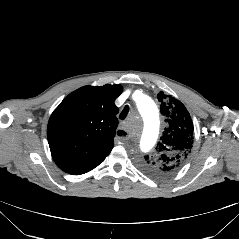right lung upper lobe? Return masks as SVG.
I'll use <instances>...</instances> for the list:
<instances>
[{
  "label": "right lung upper lobe",
  "instance_id": "cb5924a9",
  "mask_svg": "<svg viewBox=\"0 0 239 239\" xmlns=\"http://www.w3.org/2000/svg\"><path fill=\"white\" fill-rule=\"evenodd\" d=\"M122 86H85L69 94L51 114L47 138L51 155L64 172L80 175L111 152L118 125L114 101Z\"/></svg>",
  "mask_w": 239,
  "mask_h": 239
}]
</instances>
